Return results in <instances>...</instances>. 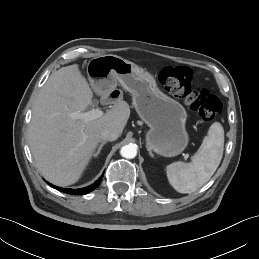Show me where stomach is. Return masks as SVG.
Listing matches in <instances>:
<instances>
[{
  "mask_svg": "<svg viewBox=\"0 0 259 259\" xmlns=\"http://www.w3.org/2000/svg\"><path fill=\"white\" fill-rule=\"evenodd\" d=\"M87 75L99 93L113 90L117 83L131 93L132 104L140 118L150 127L146 133L148 150L173 157L188 145L187 113L184 107L160 91L155 78L135 63L117 55L92 58Z\"/></svg>",
  "mask_w": 259,
  "mask_h": 259,
  "instance_id": "obj_1",
  "label": "stomach"
}]
</instances>
